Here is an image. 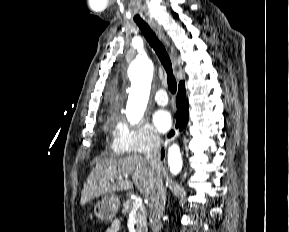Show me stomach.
Instances as JSON below:
<instances>
[{
	"label": "stomach",
	"instance_id": "0dacf381",
	"mask_svg": "<svg viewBox=\"0 0 289 232\" xmlns=\"http://www.w3.org/2000/svg\"><path fill=\"white\" fill-rule=\"evenodd\" d=\"M119 198L112 194L104 196L94 207V213L99 220L111 221L119 208Z\"/></svg>",
	"mask_w": 289,
	"mask_h": 232
}]
</instances>
